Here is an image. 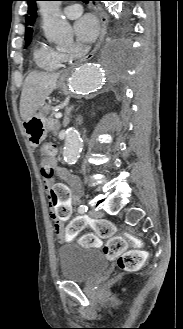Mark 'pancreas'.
<instances>
[{"mask_svg":"<svg viewBox=\"0 0 183 329\" xmlns=\"http://www.w3.org/2000/svg\"><path fill=\"white\" fill-rule=\"evenodd\" d=\"M53 115H55V112H53L47 119V129L56 135L60 130V123L58 120L53 118Z\"/></svg>","mask_w":183,"mask_h":329,"instance_id":"obj_1","label":"pancreas"}]
</instances>
